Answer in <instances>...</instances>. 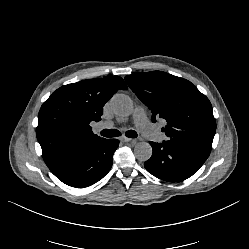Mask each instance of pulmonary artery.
Masks as SVG:
<instances>
[{
    "label": "pulmonary artery",
    "mask_w": 249,
    "mask_h": 249,
    "mask_svg": "<svg viewBox=\"0 0 249 249\" xmlns=\"http://www.w3.org/2000/svg\"><path fill=\"white\" fill-rule=\"evenodd\" d=\"M133 121L138 129H142L149 121L146 111L143 107L137 106L133 112ZM114 127V123L111 121L100 122L97 125V130L101 131L103 129H111Z\"/></svg>",
    "instance_id": "1"
}]
</instances>
